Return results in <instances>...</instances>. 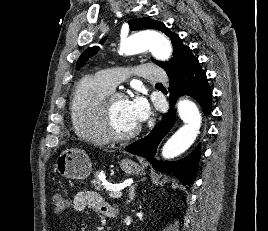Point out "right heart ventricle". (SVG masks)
Wrapping results in <instances>:
<instances>
[{"label": "right heart ventricle", "instance_id": "1", "mask_svg": "<svg viewBox=\"0 0 268 231\" xmlns=\"http://www.w3.org/2000/svg\"><path fill=\"white\" fill-rule=\"evenodd\" d=\"M113 91L100 78H83L70 101L69 112L74 133L98 145H105L110 138L104 133L100 110L104 97Z\"/></svg>", "mask_w": 268, "mask_h": 231}]
</instances>
